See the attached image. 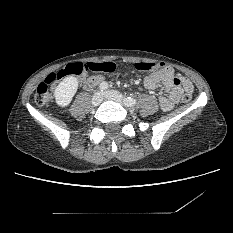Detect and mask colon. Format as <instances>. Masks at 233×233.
I'll return each mask as SVG.
<instances>
[{"instance_id": "colon-1", "label": "colon", "mask_w": 233, "mask_h": 233, "mask_svg": "<svg viewBox=\"0 0 233 233\" xmlns=\"http://www.w3.org/2000/svg\"><path fill=\"white\" fill-rule=\"evenodd\" d=\"M135 69L138 71L148 72V71H156L162 69L164 67L161 62H147L140 61L134 65ZM85 69H89L91 71L99 72L103 75L111 74L115 70L114 64L110 63H89L88 65H84L80 62L70 63L65 66L63 69L50 73L44 81H42L36 88L34 100L38 105L47 104L50 99V87L55 83L62 80L65 76H81ZM192 99V95L188 92L184 93L182 96V101L184 103H189Z\"/></svg>"}]
</instances>
